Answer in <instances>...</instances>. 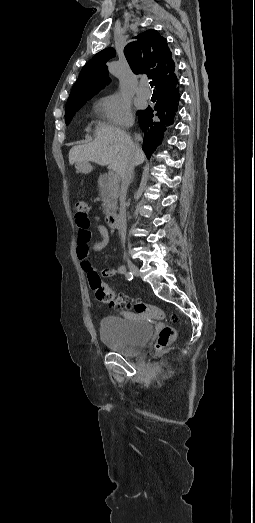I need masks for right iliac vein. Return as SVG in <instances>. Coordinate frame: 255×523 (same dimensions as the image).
<instances>
[{"mask_svg":"<svg viewBox=\"0 0 255 523\" xmlns=\"http://www.w3.org/2000/svg\"><path fill=\"white\" fill-rule=\"evenodd\" d=\"M127 264H128V268L129 270L135 275V276H138L139 275V269L138 267L130 260L127 261Z\"/></svg>","mask_w":255,"mask_h":523,"instance_id":"1","label":"right iliac vein"}]
</instances>
